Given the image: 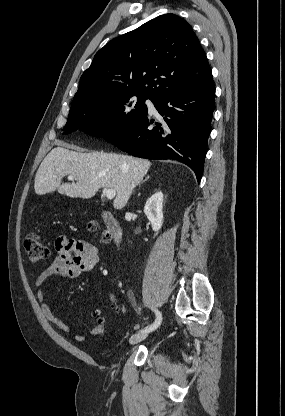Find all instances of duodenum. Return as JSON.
I'll list each match as a JSON object with an SVG mask.
<instances>
[{"label":"duodenum","instance_id":"1","mask_svg":"<svg viewBox=\"0 0 285 416\" xmlns=\"http://www.w3.org/2000/svg\"><path fill=\"white\" fill-rule=\"evenodd\" d=\"M104 225L107 232L111 235L116 244H120L122 240V228L117 219L108 212L103 214Z\"/></svg>","mask_w":285,"mask_h":416}]
</instances>
